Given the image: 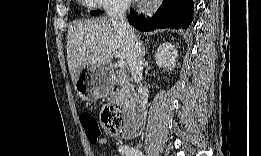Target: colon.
I'll list each match as a JSON object with an SVG mask.
<instances>
[{"instance_id":"obj_1","label":"colon","mask_w":261,"mask_h":156,"mask_svg":"<svg viewBox=\"0 0 261 156\" xmlns=\"http://www.w3.org/2000/svg\"><path fill=\"white\" fill-rule=\"evenodd\" d=\"M80 122L91 144L97 143L102 129L116 137H128L137 133L126 126L122 111L113 105L104 106L101 113V124L87 112L80 115Z\"/></svg>"}]
</instances>
